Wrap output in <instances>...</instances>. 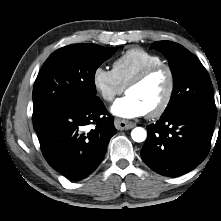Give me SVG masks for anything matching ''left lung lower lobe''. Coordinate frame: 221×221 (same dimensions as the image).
Here are the masks:
<instances>
[{
	"label": "left lung lower lobe",
	"instance_id": "left-lung-lower-lobe-1",
	"mask_svg": "<svg viewBox=\"0 0 221 221\" xmlns=\"http://www.w3.org/2000/svg\"><path fill=\"white\" fill-rule=\"evenodd\" d=\"M215 121L216 118L195 109L161 116L147 126V140L141 150L143 161L164 176L192 171L209 152Z\"/></svg>",
	"mask_w": 221,
	"mask_h": 221
}]
</instances>
